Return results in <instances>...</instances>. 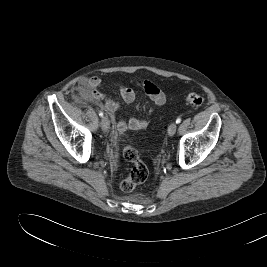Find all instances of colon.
Returning <instances> with one entry per match:
<instances>
[{"label": "colon", "instance_id": "1", "mask_svg": "<svg viewBox=\"0 0 267 267\" xmlns=\"http://www.w3.org/2000/svg\"><path fill=\"white\" fill-rule=\"evenodd\" d=\"M185 102L192 107H200L204 103V97L193 92L186 96ZM123 157L133 166L128 175L122 180L120 187L123 191L130 192L147 179L148 169L140 159L138 151L128 144L123 148Z\"/></svg>", "mask_w": 267, "mask_h": 267}]
</instances>
